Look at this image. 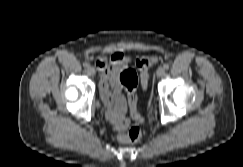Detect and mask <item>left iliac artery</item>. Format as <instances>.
<instances>
[{"instance_id": "1", "label": "left iliac artery", "mask_w": 243, "mask_h": 167, "mask_svg": "<svg viewBox=\"0 0 243 167\" xmlns=\"http://www.w3.org/2000/svg\"><path fill=\"white\" fill-rule=\"evenodd\" d=\"M163 67H164V69H166V70H167V69H169V64H167V63H166V64H164V66H163Z\"/></svg>"}]
</instances>
